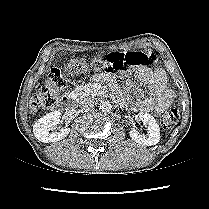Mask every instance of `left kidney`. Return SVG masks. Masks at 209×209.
<instances>
[{
  "label": "left kidney",
  "mask_w": 209,
  "mask_h": 209,
  "mask_svg": "<svg viewBox=\"0 0 209 209\" xmlns=\"http://www.w3.org/2000/svg\"><path fill=\"white\" fill-rule=\"evenodd\" d=\"M137 121H142L147 127L148 136L140 134L136 129L130 131V137L132 140L141 145L151 146L160 141V128L156 119L147 113H138L135 116Z\"/></svg>",
  "instance_id": "obj_1"
}]
</instances>
